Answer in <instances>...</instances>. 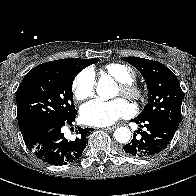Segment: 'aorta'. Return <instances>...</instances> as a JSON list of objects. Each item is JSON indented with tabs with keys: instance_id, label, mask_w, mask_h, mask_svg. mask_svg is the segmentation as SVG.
Segmentation results:
<instances>
[{
	"instance_id": "762f6f07",
	"label": "aorta",
	"mask_w": 196,
	"mask_h": 196,
	"mask_svg": "<svg viewBox=\"0 0 196 196\" xmlns=\"http://www.w3.org/2000/svg\"><path fill=\"white\" fill-rule=\"evenodd\" d=\"M96 93L102 100H108L117 95L116 84L112 78L102 77L96 87ZM114 137L119 143H127L131 138V131L127 127H119L114 132Z\"/></svg>"
}]
</instances>
